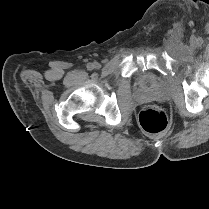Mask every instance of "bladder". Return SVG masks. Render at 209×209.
<instances>
[{
	"label": "bladder",
	"instance_id": "bladder-1",
	"mask_svg": "<svg viewBox=\"0 0 209 209\" xmlns=\"http://www.w3.org/2000/svg\"><path fill=\"white\" fill-rule=\"evenodd\" d=\"M155 80L150 75H145L140 81V87L143 91H151L154 87Z\"/></svg>",
	"mask_w": 209,
	"mask_h": 209
}]
</instances>
